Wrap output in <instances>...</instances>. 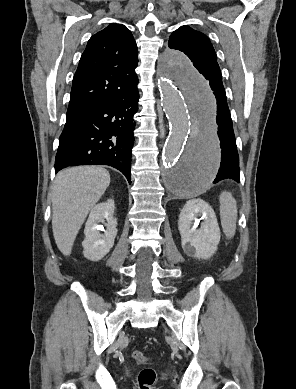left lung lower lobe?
Masks as SVG:
<instances>
[{
	"label": "left lung lower lobe",
	"instance_id": "left-lung-lower-lobe-1",
	"mask_svg": "<svg viewBox=\"0 0 296 389\" xmlns=\"http://www.w3.org/2000/svg\"><path fill=\"white\" fill-rule=\"evenodd\" d=\"M210 87L216 99V123L217 134L220 140L221 163L217 176L213 183L223 179H233L240 182L239 156L237 152L236 140L233 131L232 119L227 104V97L220 74L206 75ZM196 156V145L194 144L185 162L180 167V179H185L191 175V165Z\"/></svg>",
	"mask_w": 296,
	"mask_h": 389
}]
</instances>
